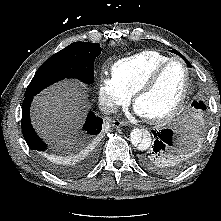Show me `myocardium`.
Returning <instances> with one entry per match:
<instances>
[{"label": "myocardium", "mask_w": 221, "mask_h": 221, "mask_svg": "<svg viewBox=\"0 0 221 221\" xmlns=\"http://www.w3.org/2000/svg\"><path fill=\"white\" fill-rule=\"evenodd\" d=\"M173 62H181L184 66L185 73H186V84L184 91L178 100V102L175 104V106L168 111L167 113L156 116V117H145V119L151 123V124H164L170 120H172L176 115L179 114V112L183 109L185 103L188 100V97L190 95L191 89H192V79H191V71L187 64V62L181 58V57H171L167 61H165L163 64H161L159 67H157L151 75L136 89V91L133 94V104L136 107L137 101L146 93L151 91L157 82L159 81L160 77L164 73V71L173 63Z\"/></svg>", "instance_id": "f54148a6"}]
</instances>
